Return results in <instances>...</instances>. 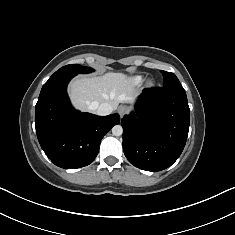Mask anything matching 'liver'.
<instances>
[{"instance_id": "obj_1", "label": "liver", "mask_w": 235, "mask_h": 235, "mask_svg": "<svg viewBox=\"0 0 235 235\" xmlns=\"http://www.w3.org/2000/svg\"><path fill=\"white\" fill-rule=\"evenodd\" d=\"M68 92L75 108L90 112H95L90 109L92 103H108L116 110L119 103H132L136 94L127 75L113 72L98 77L75 78L69 84Z\"/></svg>"}]
</instances>
